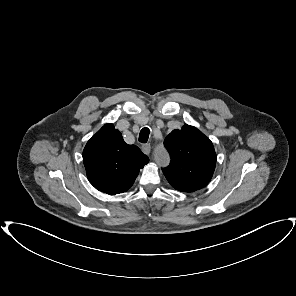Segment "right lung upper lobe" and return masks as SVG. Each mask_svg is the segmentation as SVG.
Instances as JSON below:
<instances>
[{
	"label": "right lung upper lobe",
	"instance_id": "cb5924a9",
	"mask_svg": "<svg viewBox=\"0 0 296 296\" xmlns=\"http://www.w3.org/2000/svg\"><path fill=\"white\" fill-rule=\"evenodd\" d=\"M148 161L137 146L126 144L121 133L110 123L91 137L83 151L90 183L109 195L127 191Z\"/></svg>",
	"mask_w": 296,
	"mask_h": 296
}]
</instances>
